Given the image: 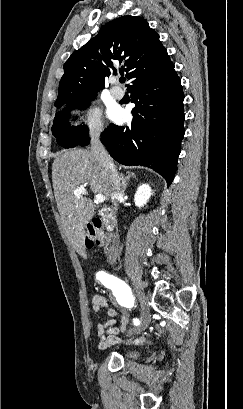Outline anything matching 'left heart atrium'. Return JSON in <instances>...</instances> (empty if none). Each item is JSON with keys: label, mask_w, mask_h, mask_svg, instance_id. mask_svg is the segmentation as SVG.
I'll list each match as a JSON object with an SVG mask.
<instances>
[{"label": "left heart atrium", "mask_w": 243, "mask_h": 409, "mask_svg": "<svg viewBox=\"0 0 243 409\" xmlns=\"http://www.w3.org/2000/svg\"><path fill=\"white\" fill-rule=\"evenodd\" d=\"M111 117L115 121H123L124 120V113L121 110H114L111 113Z\"/></svg>", "instance_id": "1"}]
</instances>
